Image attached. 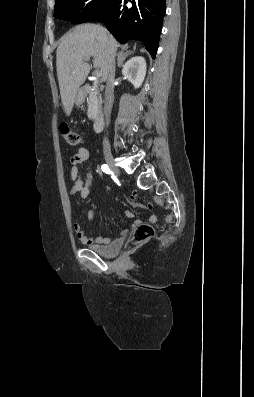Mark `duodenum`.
<instances>
[{"label":"duodenum","mask_w":254,"mask_h":397,"mask_svg":"<svg viewBox=\"0 0 254 397\" xmlns=\"http://www.w3.org/2000/svg\"><path fill=\"white\" fill-rule=\"evenodd\" d=\"M104 126V115L102 112L98 113L93 121V129L96 132H99L103 129Z\"/></svg>","instance_id":"duodenum-1"}]
</instances>
